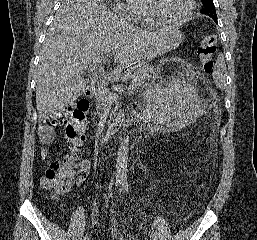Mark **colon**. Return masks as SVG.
<instances>
[{"mask_svg": "<svg viewBox=\"0 0 257 240\" xmlns=\"http://www.w3.org/2000/svg\"><path fill=\"white\" fill-rule=\"evenodd\" d=\"M217 51V37L215 34H206L198 48V55L201 68L204 72L210 73L214 66V56ZM91 114L89 103L85 100L77 102L75 105L66 109L58 117L50 118L43 126L51 131L57 121L65 126L66 135L70 144V150L75 152L84 141V130L86 120ZM80 172V168L75 164L73 154L62 159L54 160L46 170L43 184L52 189L56 196L67 193L72 184L74 176Z\"/></svg>", "mask_w": 257, "mask_h": 240, "instance_id": "1", "label": "colon"}]
</instances>
